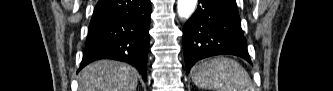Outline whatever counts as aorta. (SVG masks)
<instances>
[{
    "label": "aorta",
    "mask_w": 333,
    "mask_h": 91,
    "mask_svg": "<svg viewBox=\"0 0 333 91\" xmlns=\"http://www.w3.org/2000/svg\"><path fill=\"white\" fill-rule=\"evenodd\" d=\"M197 0H178L177 12L181 18H189L196 7Z\"/></svg>",
    "instance_id": "762f6f07"
}]
</instances>
